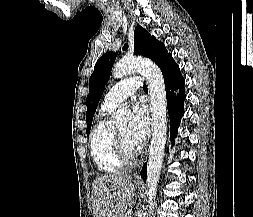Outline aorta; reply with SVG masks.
<instances>
[{
    "label": "aorta",
    "instance_id": "1",
    "mask_svg": "<svg viewBox=\"0 0 253 217\" xmlns=\"http://www.w3.org/2000/svg\"><path fill=\"white\" fill-rule=\"evenodd\" d=\"M135 72L146 77L150 91L152 139L147 166L146 195L148 204L151 205L156 196L167 139L166 91L160 68L148 59L124 58L113 67L112 76L119 79ZM129 115V109L120 108L114 113V122L125 125L128 122Z\"/></svg>",
    "mask_w": 253,
    "mask_h": 217
}]
</instances>
